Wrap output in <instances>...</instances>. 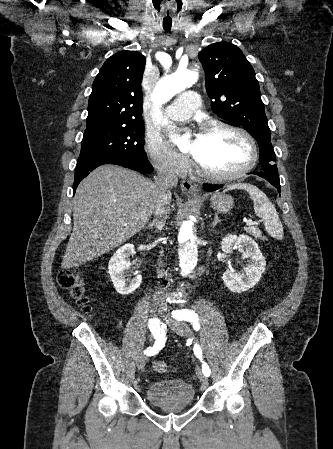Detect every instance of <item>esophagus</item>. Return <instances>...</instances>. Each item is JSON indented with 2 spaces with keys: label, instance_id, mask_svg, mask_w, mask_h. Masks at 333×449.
<instances>
[{
  "label": "esophagus",
  "instance_id": "obj_1",
  "mask_svg": "<svg viewBox=\"0 0 333 449\" xmlns=\"http://www.w3.org/2000/svg\"><path fill=\"white\" fill-rule=\"evenodd\" d=\"M181 187L185 192H188V193L192 192L195 188V186L192 184V182L186 181V180H183L181 182Z\"/></svg>",
  "mask_w": 333,
  "mask_h": 449
}]
</instances>
